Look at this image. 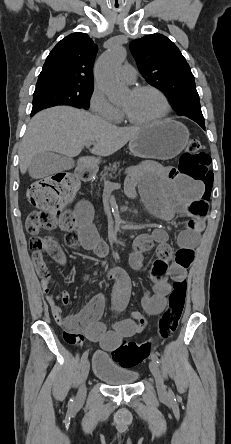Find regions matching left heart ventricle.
I'll use <instances>...</instances> for the list:
<instances>
[{
  "label": "left heart ventricle",
  "mask_w": 231,
  "mask_h": 444,
  "mask_svg": "<svg viewBox=\"0 0 231 444\" xmlns=\"http://www.w3.org/2000/svg\"><path fill=\"white\" fill-rule=\"evenodd\" d=\"M120 106L137 121L154 119L164 110L162 99L152 91H144L139 94L129 92Z\"/></svg>",
  "instance_id": "left-heart-ventricle-1"
}]
</instances>
